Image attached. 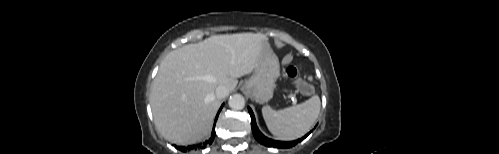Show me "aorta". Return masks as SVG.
<instances>
[{
	"mask_svg": "<svg viewBox=\"0 0 499 154\" xmlns=\"http://www.w3.org/2000/svg\"><path fill=\"white\" fill-rule=\"evenodd\" d=\"M229 107L234 110H241L245 107V99L240 94H234L229 98Z\"/></svg>",
	"mask_w": 499,
	"mask_h": 154,
	"instance_id": "aorta-1",
	"label": "aorta"
}]
</instances>
